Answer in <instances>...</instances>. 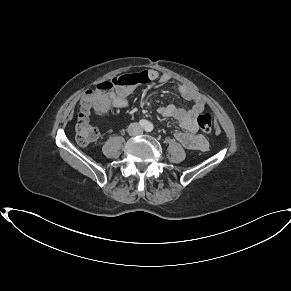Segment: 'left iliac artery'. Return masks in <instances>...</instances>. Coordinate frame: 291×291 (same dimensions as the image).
Wrapping results in <instances>:
<instances>
[{
	"instance_id": "obj_1",
	"label": "left iliac artery",
	"mask_w": 291,
	"mask_h": 291,
	"mask_svg": "<svg viewBox=\"0 0 291 291\" xmlns=\"http://www.w3.org/2000/svg\"><path fill=\"white\" fill-rule=\"evenodd\" d=\"M153 130V126H152V124H148L147 126H146V131L147 132H151Z\"/></svg>"
}]
</instances>
